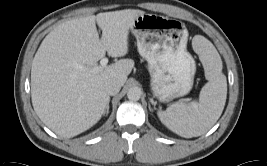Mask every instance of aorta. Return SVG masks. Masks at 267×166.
I'll use <instances>...</instances> for the list:
<instances>
[{
	"label": "aorta",
	"mask_w": 267,
	"mask_h": 166,
	"mask_svg": "<svg viewBox=\"0 0 267 166\" xmlns=\"http://www.w3.org/2000/svg\"><path fill=\"white\" fill-rule=\"evenodd\" d=\"M141 90L138 87H131L127 92V97L131 101H137L141 97Z\"/></svg>",
	"instance_id": "aorta-1"
}]
</instances>
